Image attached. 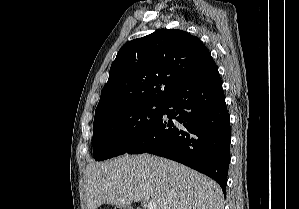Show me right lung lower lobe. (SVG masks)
Segmentation results:
<instances>
[{"label":"right lung lower lobe","mask_w":299,"mask_h":209,"mask_svg":"<svg viewBox=\"0 0 299 209\" xmlns=\"http://www.w3.org/2000/svg\"><path fill=\"white\" fill-rule=\"evenodd\" d=\"M230 141V118L218 69H207L172 91L160 119L126 153L147 152L180 162L216 180L225 194Z\"/></svg>","instance_id":"right-lung-lower-lobe-1"}]
</instances>
